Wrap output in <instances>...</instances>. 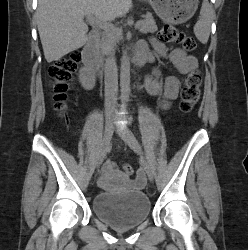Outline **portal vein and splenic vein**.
<instances>
[{"mask_svg": "<svg viewBox=\"0 0 248 250\" xmlns=\"http://www.w3.org/2000/svg\"><path fill=\"white\" fill-rule=\"evenodd\" d=\"M87 21L100 27V28H107V26L105 25V23L103 21H101L100 19L95 18L93 15H88L87 17ZM139 25V21L136 23V27Z\"/></svg>", "mask_w": 248, "mask_h": 250, "instance_id": "portal-vein-and-splenic-vein-1", "label": "portal vein and splenic vein"}]
</instances>
